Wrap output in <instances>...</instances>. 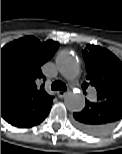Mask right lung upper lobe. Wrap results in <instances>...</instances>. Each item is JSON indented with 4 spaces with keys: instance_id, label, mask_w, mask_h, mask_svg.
Masks as SVG:
<instances>
[{
    "instance_id": "1",
    "label": "right lung upper lobe",
    "mask_w": 122,
    "mask_h": 154,
    "mask_svg": "<svg viewBox=\"0 0 122 154\" xmlns=\"http://www.w3.org/2000/svg\"><path fill=\"white\" fill-rule=\"evenodd\" d=\"M58 47V42L27 36L1 49V116L11 125L18 127L51 109L53 96L38 83L41 66Z\"/></svg>"
}]
</instances>
